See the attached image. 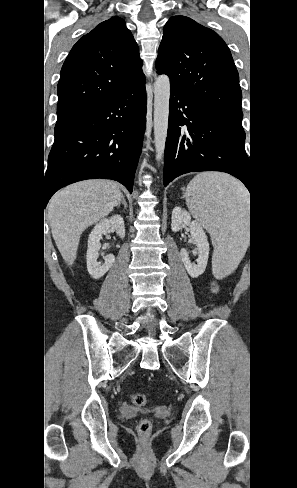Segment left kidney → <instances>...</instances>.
I'll return each mask as SVG.
<instances>
[{"label":"left kidney","instance_id":"left-kidney-1","mask_svg":"<svg viewBox=\"0 0 297 488\" xmlns=\"http://www.w3.org/2000/svg\"><path fill=\"white\" fill-rule=\"evenodd\" d=\"M185 226H189L192 238L198 250L197 264H192L189 260L187 250L182 248L180 256L188 274L192 278H197L204 273L208 257H209V243L207 236L202 226L195 220H191L189 212L181 207H175L172 211V223L171 228L173 232H178Z\"/></svg>","mask_w":297,"mask_h":488}]
</instances>
